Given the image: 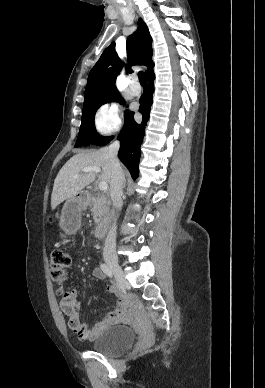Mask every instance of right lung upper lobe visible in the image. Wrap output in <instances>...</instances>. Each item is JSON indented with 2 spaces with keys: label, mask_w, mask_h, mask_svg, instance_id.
<instances>
[{
  "label": "right lung upper lobe",
  "mask_w": 265,
  "mask_h": 388,
  "mask_svg": "<svg viewBox=\"0 0 265 388\" xmlns=\"http://www.w3.org/2000/svg\"><path fill=\"white\" fill-rule=\"evenodd\" d=\"M152 38L144 21L140 18L138 29L130 35L126 42L127 64H124L115 51V43L112 42L102 53L101 57L90 71L85 99L105 91L116 89L115 81L123 66L126 72L131 73V66L145 65L147 77L153 73Z\"/></svg>",
  "instance_id": "cb5924a9"
}]
</instances>
